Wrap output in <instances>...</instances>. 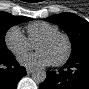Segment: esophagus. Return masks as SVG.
Segmentation results:
<instances>
[{"label": "esophagus", "instance_id": "1", "mask_svg": "<svg viewBox=\"0 0 89 89\" xmlns=\"http://www.w3.org/2000/svg\"><path fill=\"white\" fill-rule=\"evenodd\" d=\"M26 71H27L28 74H30V73H32L34 71V68L27 67Z\"/></svg>", "mask_w": 89, "mask_h": 89}]
</instances>
